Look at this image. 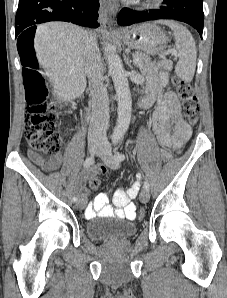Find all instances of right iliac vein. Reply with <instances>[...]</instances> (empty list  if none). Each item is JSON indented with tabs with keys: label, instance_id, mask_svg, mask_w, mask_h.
Instances as JSON below:
<instances>
[{
	"label": "right iliac vein",
	"instance_id": "obj_1",
	"mask_svg": "<svg viewBox=\"0 0 227 298\" xmlns=\"http://www.w3.org/2000/svg\"><path fill=\"white\" fill-rule=\"evenodd\" d=\"M88 147H89L90 153L95 154L99 151L101 146L97 142H91V143H89ZM84 206H85V202L82 199H79V200L75 201L76 209L81 210V209H83Z\"/></svg>",
	"mask_w": 227,
	"mask_h": 298
}]
</instances>
